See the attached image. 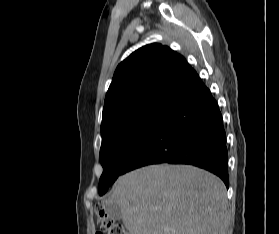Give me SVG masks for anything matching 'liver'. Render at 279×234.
I'll use <instances>...</instances> for the list:
<instances>
[{"mask_svg":"<svg viewBox=\"0 0 279 234\" xmlns=\"http://www.w3.org/2000/svg\"><path fill=\"white\" fill-rule=\"evenodd\" d=\"M117 204L129 234H225L224 183L190 165H152L118 178L106 205Z\"/></svg>","mask_w":279,"mask_h":234,"instance_id":"liver-1","label":"liver"}]
</instances>
